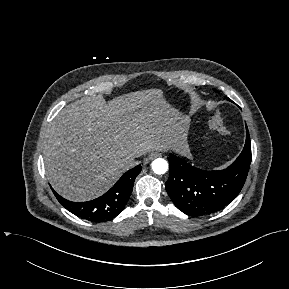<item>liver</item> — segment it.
<instances>
[{
	"mask_svg": "<svg viewBox=\"0 0 289 289\" xmlns=\"http://www.w3.org/2000/svg\"><path fill=\"white\" fill-rule=\"evenodd\" d=\"M186 126L160 89L108 103L77 101L43 136L46 174L57 193L76 202L105 193L130 166L125 158L151 150L185 149Z\"/></svg>",
	"mask_w": 289,
	"mask_h": 289,
	"instance_id": "obj_1",
	"label": "liver"
}]
</instances>
